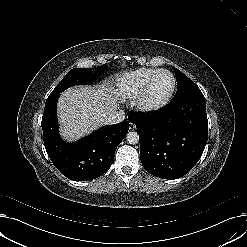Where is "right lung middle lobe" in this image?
Here are the masks:
<instances>
[{"label":"right lung middle lobe","mask_w":247,"mask_h":247,"mask_svg":"<svg viewBox=\"0 0 247 247\" xmlns=\"http://www.w3.org/2000/svg\"><path fill=\"white\" fill-rule=\"evenodd\" d=\"M106 66H98L94 73H91L87 69L75 68L70 70L50 95H56L62 93L65 89L74 85L92 84L93 79L101 73Z\"/></svg>","instance_id":"obj_1"}]
</instances>
